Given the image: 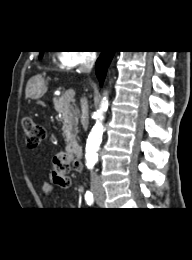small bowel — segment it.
Listing matches in <instances>:
<instances>
[{"instance_id":"obj_1","label":"small bowel","mask_w":192,"mask_h":260,"mask_svg":"<svg viewBox=\"0 0 192 260\" xmlns=\"http://www.w3.org/2000/svg\"><path fill=\"white\" fill-rule=\"evenodd\" d=\"M54 189V185L49 181H45L42 185V191L46 197H50L53 194Z\"/></svg>"}]
</instances>
